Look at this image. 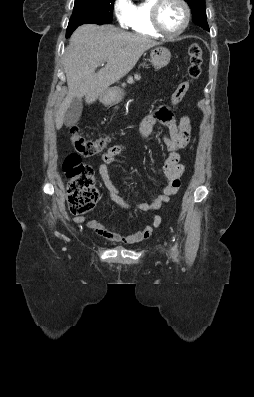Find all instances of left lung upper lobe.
I'll use <instances>...</instances> for the list:
<instances>
[{
	"mask_svg": "<svg viewBox=\"0 0 254 397\" xmlns=\"http://www.w3.org/2000/svg\"><path fill=\"white\" fill-rule=\"evenodd\" d=\"M190 8L192 9L193 22L202 27L203 29L210 31L207 23L206 11H205V0H185Z\"/></svg>",
	"mask_w": 254,
	"mask_h": 397,
	"instance_id": "obj_1",
	"label": "left lung upper lobe"
}]
</instances>
